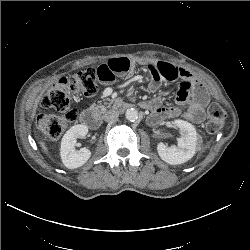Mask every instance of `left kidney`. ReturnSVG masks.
Listing matches in <instances>:
<instances>
[{
  "instance_id": "left-kidney-1",
  "label": "left kidney",
  "mask_w": 250,
  "mask_h": 250,
  "mask_svg": "<svg viewBox=\"0 0 250 250\" xmlns=\"http://www.w3.org/2000/svg\"><path fill=\"white\" fill-rule=\"evenodd\" d=\"M174 125L180 131L177 146H167L164 143L157 145L160 158L168 164L178 165L190 160L196 152L199 136L192 124L187 121L176 119Z\"/></svg>"
}]
</instances>
